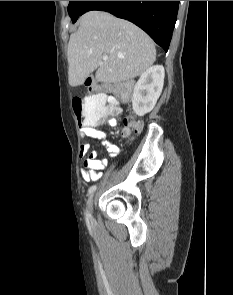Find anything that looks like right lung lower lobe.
<instances>
[{"label": "right lung lower lobe", "mask_w": 233, "mask_h": 295, "mask_svg": "<svg viewBox=\"0 0 233 295\" xmlns=\"http://www.w3.org/2000/svg\"><path fill=\"white\" fill-rule=\"evenodd\" d=\"M180 1H86L81 15L99 10L129 20L168 50Z\"/></svg>", "instance_id": "98d812e1"}]
</instances>
